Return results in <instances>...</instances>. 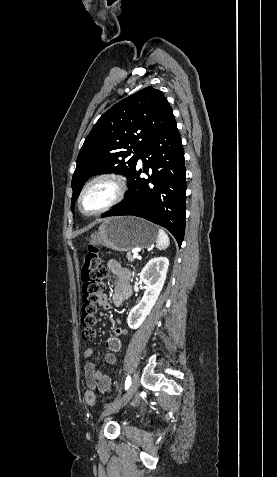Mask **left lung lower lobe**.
<instances>
[{
	"label": "left lung lower lobe",
	"instance_id": "0a47b994",
	"mask_svg": "<svg viewBox=\"0 0 277 477\" xmlns=\"http://www.w3.org/2000/svg\"><path fill=\"white\" fill-rule=\"evenodd\" d=\"M148 158V159H147ZM142 169L128 179L127 200L102 217L133 215L168 229L181 246L185 232L186 169L181 137L173 117L140 152Z\"/></svg>",
	"mask_w": 277,
	"mask_h": 477
}]
</instances>
